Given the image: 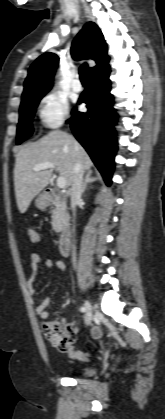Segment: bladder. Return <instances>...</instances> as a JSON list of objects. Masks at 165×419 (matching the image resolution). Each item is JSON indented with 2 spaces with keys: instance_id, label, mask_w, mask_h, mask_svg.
Masks as SVG:
<instances>
[{
  "instance_id": "bladder-1",
  "label": "bladder",
  "mask_w": 165,
  "mask_h": 419,
  "mask_svg": "<svg viewBox=\"0 0 165 419\" xmlns=\"http://www.w3.org/2000/svg\"><path fill=\"white\" fill-rule=\"evenodd\" d=\"M94 373V369L93 368H85L83 369L80 374L83 376H90Z\"/></svg>"
}]
</instances>
